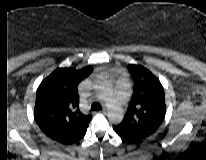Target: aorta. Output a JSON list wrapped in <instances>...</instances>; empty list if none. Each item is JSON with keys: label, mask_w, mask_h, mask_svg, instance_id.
I'll use <instances>...</instances> for the list:
<instances>
[{"label": "aorta", "mask_w": 206, "mask_h": 160, "mask_svg": "<svg viewBox=\"0 0 206 160\" xmlns=\"http://www.w3.org/2000/svg\"><path fill=\"white\" fill-rule=\"evenodd\" d=\"M107 107L109 120L115 124L120 123L123 119V108L120 97L112 93L107 99Z\"/></svg>", "instance_id": "1"}]
</instances>
